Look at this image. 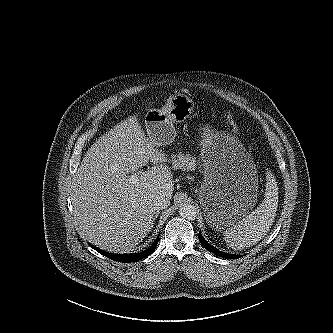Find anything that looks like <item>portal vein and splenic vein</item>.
<instances>
[{
	"instance_id": "1",
	"label": "portal vein and splenic vein",
	"mask_w": 333,
	"mask_h": 333,
	"mask_svg": "<svg viewBox=\"0 0 333 333\" xmlns=\"http://www.w3.org/2000/svg\"><path fill=\"white\" fill-rule=\"evenodd\" d=\"M129 180L132 183H136L138 181V176L136 174H133V175L130 176Z\"/></svg>"
}]
</instances>
